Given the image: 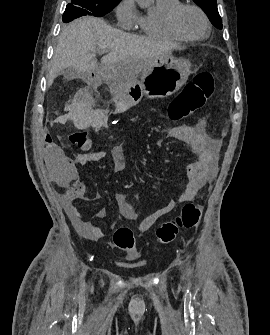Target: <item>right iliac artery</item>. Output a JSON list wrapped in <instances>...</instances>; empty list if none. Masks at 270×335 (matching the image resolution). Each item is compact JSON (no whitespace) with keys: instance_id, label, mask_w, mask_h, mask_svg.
I'll return each instance as SVG.
<instances>
[{"instance_id":"right-iliac-artery-1","label":"right iliac artery","mask_w":270,"mask_h":335,"mask_svg":"<svg viewBox=\"0 0 270 335\" xmlns=\"http://www.w3.org/2000/svg\"><path fill=\"white\" fill-rule=\"evenodd\" d=\"M81 290H84V285H82V289Z\"/></svg>"}]
</instances>
